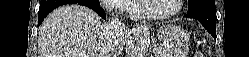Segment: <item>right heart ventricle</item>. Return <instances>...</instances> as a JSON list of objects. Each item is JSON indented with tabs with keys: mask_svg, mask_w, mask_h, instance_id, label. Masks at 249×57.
Wrapping results in <instances>:
<instances>
[{
	"mask_svg": "<svg viewBox=\"0 0 249 57\" xmlns=\"http://www.w3.org/2000/svg\"><path fill=\"white\" fill-rule=\"evenodd\" d=\"M128 10L135 18H143L144 15L140 11L139 0H132L128 2Z\"/></svg>",
	"mask_w": 249,
	"mask_h": 57,
	"instance_id": "1",
	"label": "right heart ventricle"
}]
</instances>
